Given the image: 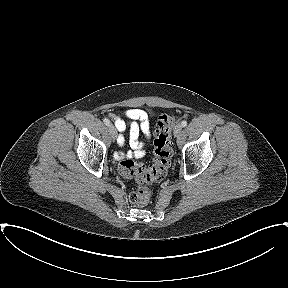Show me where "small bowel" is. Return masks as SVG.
I'll list each match as a JSON object with an SVG mask.
<instances>
[{"label": "small bowel", "mask_w": 288, "mask_h": 288, "mask_svg": "<svg viewBox=\"0 0 288 288\" xmlns=\"http://www.w3.org/2000/svg\"><path fill=\"white\" fill-rule=\"evenodd\" d=\"M129 121H125L121 116H112L115 127L119 134L118 143L123 145L125 138L123 133L129 128V145L131 151L126 153L119 152L116 154L117 159L124 158H142L145 155L144 142L139 139V134L142 132L147 138L150 136V123L148 115L144 110L138 108H129L123 112Z\"/></svg>", "instance_id": "1"}]
</instances>
